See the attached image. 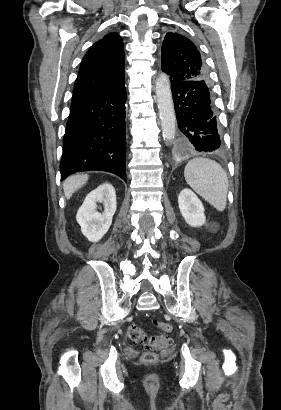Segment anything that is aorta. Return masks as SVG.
<instances>
[{"instance_id":"obj_1","label":"aorta","mask_w":281,"mask_h":410,"mask_svg":"<svg viewBox=\"0 0 281 410\" xmlns=\"http://www.w3.org/2000/svg\"><path fill=\"white\" fill-rule=\"evenodd\" d=\"M156 97L163 138L167 143H172L176 135V115L170 81L165 75H160L156 80Z\"/></svg>"}]
</instances>
